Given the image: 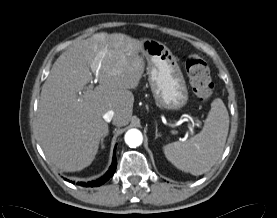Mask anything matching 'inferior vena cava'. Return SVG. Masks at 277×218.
Wrapping results in <instances>:
<instances>
[{"label": "inferior vena cava", "mask_w": 277, "mask_h": 218, "mask_svg": "<svg viewBox=\"0 0 277 218\" xmlns=\"http://www.w3.org/2000/svg\"><path fill=\"white\" fill-rule=\"evenodd\" d=\"M113 117H114V111L113 110H109L103 115V119L106 122H110L113 119Z\"/></svg>", "instance_id": "inferior-vena-cava-1"}]
</instances>
